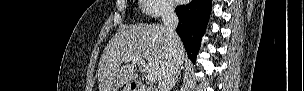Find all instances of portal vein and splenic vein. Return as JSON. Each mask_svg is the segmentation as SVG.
Returning a JSON list of instances; mask_svg holds the SVG:
<instances>
[{
    "mask_svg": "<svg viewBox=\"0 0 304 91\" xmlns=\"http://www.w3.org/2000/svg\"><path fill=\"white\" fill-rule=\"evenodd\" d=\"M122 61L123 62H134V63H137L139 64L140 66H142L143 68H146V62L145 60H143L142 58H139V57H135V56H126V57H123L122 58ZM147 79L150 81V82H153L154 81V77L151 73L147 72V75H146Z\"/></svg>",
    "mask_w": 304,
    "mask_h": 91,
    "instance_id": "1",
    "label": "portal vein and splenic vein"
}]
</instances>
